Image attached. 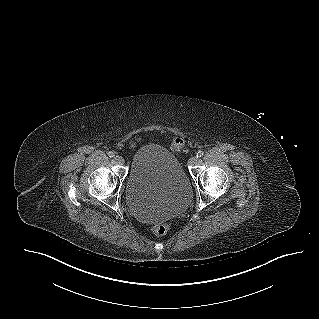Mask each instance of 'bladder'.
<instances>
[{
	"instance_id": "bladder-1",
	"label": "bladder",
	"mask_w": 319,
	"mask_h": 319,
	"mask_svg": "<svg viewBox=\"0 0 319 319\" xmlns=\"http://www.w3.org/2000/svg\"><path fill=\"white\" fill-rule=\"evenodd\" d=\"M191 182L179 159L161 145L137 148L125 183L128 206L142 220H164L191 199Z\"/></svg>"
}]
</instances>
